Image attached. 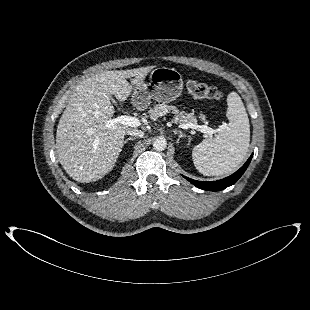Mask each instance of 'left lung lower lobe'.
Instances as JSON below:
<instances>
[{
    "instance_id": "1",
    "label": "left lung lower lobe",
    "mask_w": 310,
    "mask_h": 310,
    "mask_svg": "<svg viewBox=\"0 0 310 310\" xmlns=\"http://www.w3.org/2000/svg\"><path fill=\"white\" fill-rule=\"evenodd\" d=\"M251 159H252V155L247 160V162L237 172H235L234 174H232L229 177H226V178L218 180V181L202 182V181H196V180L187 178L185 176H183V177L186 178L189 182H191L196 187L203 189V190H209V191L223 190V189L227 188L228 186H231L237 182V180L243 175V173L247 169Z\"/></svg>"
}]
</instances>
